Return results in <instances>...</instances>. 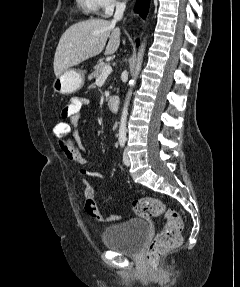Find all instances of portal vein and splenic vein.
I'll return each mask as SVG.
<instances>
[{
	"mask_svg": "<svg viewBox=\"0 0 240 287\" xmlns=\"http://www.w3.org/2000/svg\"><path fill=\"white\" fill-rule=\"evenodd\" d=\"M111 72H112V67L107 64L106 66H104V68H103V70H102V73L100 74V77L107 76V75H109Z\"/></svg>",
	"mask_w": 240,
	"mask_h": 287,
	"instance_id": "obj_1",
	"label": "portal vein and splenic vein"
}]
</instances>
